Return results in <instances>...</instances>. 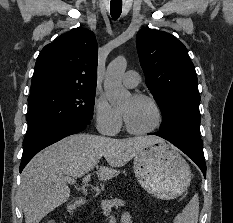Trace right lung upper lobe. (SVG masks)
<instances>
[{"label": "right lung upper lobe", "mask_w": 233, "mask_h": 223, "mask_svg": "<svg viewBox=\"0 0 233 223\" xmlns=\"http://www.w3.org/2000/svg\"><path fill=\"white\" fill-rule=\"evenodd\" d=\"M98 46L95 35L75 28L40 52L31 82V94L54 88L96 89Z\"/></svg>", "instance_id": "obj_1"}]
</instances>
